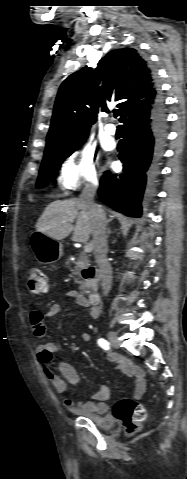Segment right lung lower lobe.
I'll use <instances>...</instances> for the list:
<instances>
[{
  "label": "right lung lower lobe",
  "instance_id": "obj_1",
  "mask_svg": "<svg viewBox=\"0 0 187 479\" xmlns=\"http://www.w3.org/2000/svg\"><path fill=\"white\" fill-rule=\"evenodd\" d=\"M126 136L118 144V158L122 161L123 173L117 176L105 172L100 180V199L130 217H140L142 198L157 175L166 139V110L159 94L151 104L137 107L122 121Z\"/></svg>",
  "mask_w": 187,
  "mask_h": 479
}]
</instances>
